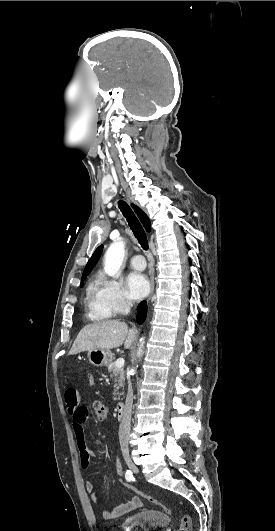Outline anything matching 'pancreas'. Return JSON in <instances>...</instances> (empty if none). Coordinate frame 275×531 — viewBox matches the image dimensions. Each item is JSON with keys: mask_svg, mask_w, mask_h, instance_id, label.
Returning <instances> with one entry per match:
<instances>
[{"mask_svg": "<svg viewBox=\"0 0 275 531\" xmlns=\"http://www.w3.org/2000/svg\"><path fill=\"white\" fill-rule=\"evenodd\" d=\"M108 371L109 373H111L110 377L115 383L113 389V401H119V397L120 395H122V393H119V389H121V387H124L125 385V371L124 369H122V367L121 369H119V367H116L115 361H113V363H109Z\"/></svg>", "mask_w": 275, "mask_h": 531, "instance_id": "1", "label": "pancreas"}]
</instances>
